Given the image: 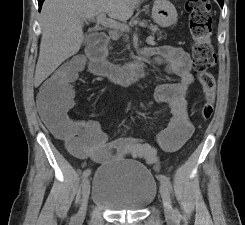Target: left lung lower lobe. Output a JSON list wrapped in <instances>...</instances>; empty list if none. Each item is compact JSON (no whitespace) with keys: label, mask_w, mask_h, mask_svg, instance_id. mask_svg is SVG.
<instances>
[{"label":"left lung lower lobe","mask_w":245,"mask_h":225,"mask_svg":"<svg viewBox=\"0 0 245 225\" xmlns=\"http://www.w3.org/2000/svg\"><path fill=\"white\" fill-rule=\"evenodd\" d=\"M221 7H223L224 0H217Z\"/></svg>","instance_id":"obj_1"}]
</instances>
